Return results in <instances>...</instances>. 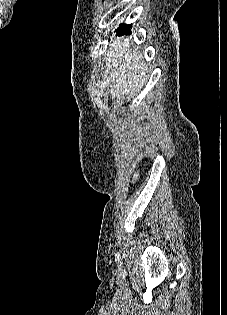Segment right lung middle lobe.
Segmentation results:
<instances>
[{"instance_id": "dd1d6c3e", "label": "right lung middle lobe", "mask_w": 227, "mask_h": 315, "mask_svg": "<svg viewBox=\"0 0 227 315\" xmlns=\"http://www.w3.org/2000/svg\"><path fill=\"white\" fill-rule=\"evenodd\" d=\"M132 27V24H121L119 26V30H117V33H119L118 35H123V34H127L130 32V28Z\"/></svg>"}]
</instances>
